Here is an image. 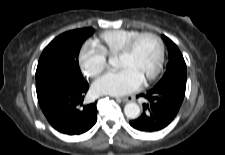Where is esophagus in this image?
Listing matches in <instances>:
<instances>
[{
  "mask_svg": "<svg viewBox=\"0 0 225 155\" xmlns=\"http://www.w3.org/2000/svg\"><path fill=\"white\" fill-rule=\"evenodd\" d=\"M116 99H117V101L126 103V102H129V101H132L134 99V97L129 96V97H123V98H116Z\"/></svg>",
  "mask_w": 225,
  "mask_h": 155,
  "instance_id": "esophagus-1",
  "label": "esophagus"
}]
</instances>
